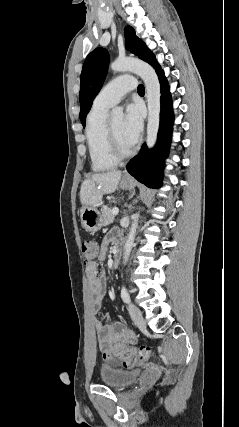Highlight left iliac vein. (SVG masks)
<instances>
[{
  "instance_id": "4c4485c4",
  "label": "left iliac vein",
  "mask_w": 239,
  "mask_h": 427,
  "mask_svg": "<svg viewBox=\"0 0 239 427\" xmlns=\"http://www.w3.org/2000/svg\"><path fill=\"white\" fill-rule=\"evenodd\" d=\"M128 310L135 325L139 328H145L146 322L143 318L141 310L132 303L128 305Z\"/></svg>"
}]
</instances>
